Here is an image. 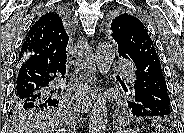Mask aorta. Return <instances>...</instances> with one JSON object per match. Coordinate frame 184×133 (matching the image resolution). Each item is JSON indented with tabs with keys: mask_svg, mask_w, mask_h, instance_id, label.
Instances as JSON below:
<instances>
[{
	"mask_svg": "<svg viewBox=\"0 0 184 133\" xmlns=\"http://www.w3.org/2000/svg\"><path fill=\"white\" fill-rule=\"evenodd\" d=\"M116 49L107 42L98 44L95 53V63L99 73L106 76L115 60ZM108 123L107 101L104 95L97 98L91 110L89 133H106Z\"/></svg>",
	"mask_w": 184,
	"mask_h": 133,
	"instance_id": "762f6f07",
	"label": "aorta"
}]
</instances>
